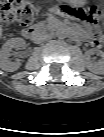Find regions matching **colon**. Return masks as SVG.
Here are the masks:
<instances>
[{
  "label": "colon",
  "mask_w": 104,
  "mask_h": 137,
  "mask_svg": "<svg viewBox=\"0 0 104 137\" xmlns=\"http://www.w3.org/2000/svg\"><path fill=\"white\" fill-rule=\"evenodd\" d=\"M0 9L4 20L9 24L20 26L29 25L35 15V6L30 0H1ZM67 13L76 15L80 19L92 24H98L100 21V10L96 6L85 9H74L64 7ZM92 42L95 46H100L103 42L101 31H97L92 36Z\"/></svg>",
  "instance_id": "5ec220e1"
}]
</instances>
